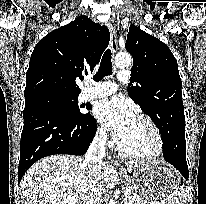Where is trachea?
<instances>
[{
	"instance_id": "3493384b",
	"label": "trachea",
	"mask_w": 206,
	"mask_h": 204,
	"mask_svg": "<svg viewBox=\"0 0 206 204\" xmlns=\"http://www.w3.org/2000/svg\"><path fill=\"white\" fill-rule=\"evenodd\" d=\"M111 58H112L111 50L107 49L103 54L98 72L93 76L94 81H100L105 76L112 74Z\"/></svg>"
}]
</instances>
